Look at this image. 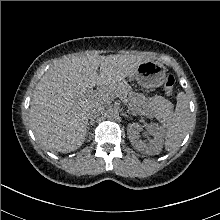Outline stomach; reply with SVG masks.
<instances>
[{"label":"stomach","mask_w":220,"mask_h":220,"mask_svg":"<svg viewBox=\"0 0 220 220\" xmlns=\"http://www.w3.org/2000/svg\"><path fill=\"white\" fill-rule=\"evenodd\" d=\"M129 78L143 87H159L165 81L166 67L158 61L147 60L140 63Z\"/></svg>","instance_id":"0dacf381"}]
</instances>
